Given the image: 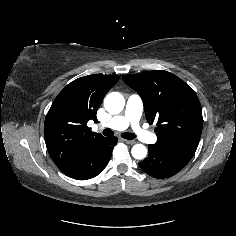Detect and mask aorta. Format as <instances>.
I'll use <instances>...</instances> for the list:
<instances>
[{"label": "aorta", "instance_id": "obj_1", "mask_svg": "<svg viewBox=\"0 0 236 236\" xmlns=\"http://www.w3.org/2000/svg\"><path fill=\"white\" fill-rule=\"evenodd\" d=\"M125 105L124 97L119 92L109 93L104 99V107L111 114L120 113ZM131 154L135 159H144L147 155V149L143 144H135L132 147Z\"/></svg>", "mask_w": 236, "mask_h": 236}]
</instances>
